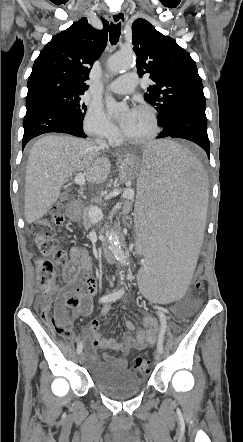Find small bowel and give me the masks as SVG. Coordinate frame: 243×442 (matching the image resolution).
I'll use <instances>...</instances> for the list:
<instances>
[{
	"instance_id": "c3829d8e",
	"label": "small bowel",
	"mask_w": 243,
	"mask_h": 442,
	"mask_svg": "<svg viewBox=\"0 0 243 442\" xmlns=\"http://www.w3.org/2000/svg\"><path fill=\"white\" fill-rule=\"evenodd\" d=\"M93 263L86 248L74 246L70 249V259L63 268V278L66 285L56 296L55 308L63 311L69 325V331L73 322L81 316L88 317L93 311V297L96 294V282L92 276ZM110 311V306L105 305L103 314ZM175 313V310L173 311ZM143 328L137 330L136 336L131 331L135 325L130 320H126L124 325L127 332L124 333L122 341L114 337L103 338L100 335V321L92 319L89 325L91 330L90 352L93 360L97 359V350L108 349L121 353L122 357H115L106 354L104 358L116 363L119 367H126L127 361L124 356L131 350H142L153 345L156 341L157 323L154 319L145 317L142 319Z\"/></svg>"
}]
</instances>
